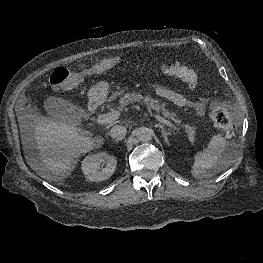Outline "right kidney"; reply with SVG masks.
<instances>
[{
    "label": "right kidney",
    "instance_id": "1",
    "mask_svg": "<svg viewBox=\"0 0 263 263\" xmlns=\"http://www.w3.org/2000/svg\"><path fill=\"white\" fill-rule=\"evenodd\" d=\"M101 164L105 168L100 169ZM117 159L105 152L89 155L82 161V171L92 182L107 180L116 169Z\"/></svg>",
    "mask_w": 263,
    "mask_h": 263
}]
</instances>
